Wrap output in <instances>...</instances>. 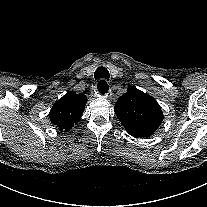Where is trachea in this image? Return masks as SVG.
Returning a JSON list of instances; mask_svg holds the SVG:
<instances>
[{
    "label": "trachea",
    "instance_id": "trachea-1",
    "mask_svg": "<svg viewBox=\"0 0 207 207\" xmlns=\"http://www.w3.org/2000/svg\"><path fill=\"white\" fill-rule=\"evenodd\" d=\"M95 79L104 78L109 80V72L105 67H99L94 73ZM100 94H105L108 92V84L104 80H100L97 85Z\"/></svg>",
    "mask_w": 207,
    "mask_h": 207
}]
</instances>
